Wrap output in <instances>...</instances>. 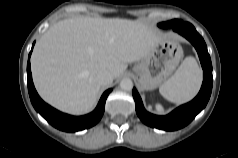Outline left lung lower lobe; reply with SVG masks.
<instances>
[{
	"label": "left lung lower lobe",
	"mask_w": 238,
	"mask_h": 158,
	"mask_svg": "<svg viewBox=\"0 0 238 158\" xmlns=\"http://www.w3.org/2000/svg\"><path fill=\"white\" fill-rule=\"evenodd\" d=\"M166 28L173 27V30L188 39L198 52L203 68V83L198 95L189 103L184 104L166 116H157L147 112L142 100L133 89L136 112L143 123L150 127L173 131L188 125L195 116L206 106L212 91L213 77L212 64L203 38L198 34L194 26L188 22L178 23L177 20L166 22Z\"/></svg>",
	"instance_id": "obj_1"
}]
</instances>
